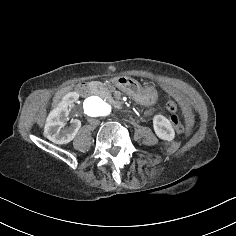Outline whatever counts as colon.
<instances>
[{
  "mask_svg": "<svg viewBox=\"0 0 236 236\" xmlns=\"http://www.w3.org/2000/svg\"><path fill=\"white\" fill-rule=\"evenodd\" d=\"M167 110L171 113V121L177 132H182L184 126L180 122L179 117L177 116V105L174 101L169 100L166 104Z\"/></svg>",
  "mask_w": 236,
  "mask_h": 236,
  "instance_id": "obj_1",
  "label": "colon"
}]
</instances>
